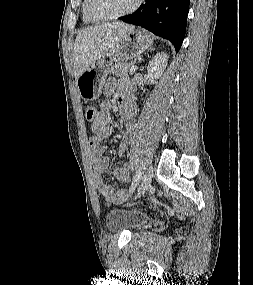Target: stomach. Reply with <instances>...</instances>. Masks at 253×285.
<instances>
[{
  "label": "stomach",
  "mask_w": 253,
  "mask_h": 285,
  "mask_svg": "<svg viewBox=\"0 0 253 285\" xmlns=\"http://www.w3.org/2000/svg\"><path fill=\"white\" fill-rule=\"evenodd\" d=\"M153 43L151 35L143 29H132L103 58L86 69L76 80L80 97L84 101L97 99L102 91L112 62H127L142 54ZM110 58V62L106 58Z\"/></svg>",
  "instance_id": "1"
}]
</instances>
